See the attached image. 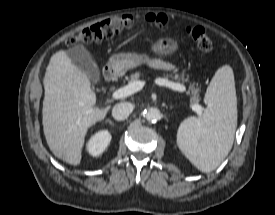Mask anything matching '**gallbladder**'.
<instances>
[{
  "label": "gallbladder",
  "instance_id": "gallbladder-1",
  "mask_svg": "<svg viewBox=\"0 0 275 215\" xmlns=\"http://www.w3.org/2000/svg\"><path fill=\"white\" fill-rule=\"evenodd\" d=\"M72 63L86 73L92 83L100 81V71L90 53L82 46H75L66 52Z\"/></svg>",
  "mask_w": 275,
  "mask_h": 215
}]
</instances>
